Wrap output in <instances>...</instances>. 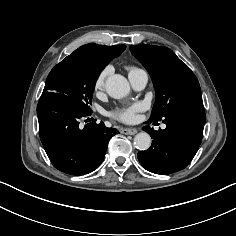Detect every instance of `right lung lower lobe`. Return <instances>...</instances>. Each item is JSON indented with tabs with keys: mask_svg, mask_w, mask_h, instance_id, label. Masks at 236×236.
I'll list each match as a JSON object with an SVG mask.
<instances>
[{
	"mask_svg": "<svg viewBox=\"0 0 236 236\" xmlns=\"http://www.w3.org/2000/svg\"><path fill=\"white\" fill-rule=\"evenodd\" d=\"M91 113L81 110L66 95L42 93L37 106L40 139L56 169L83 175L102 163L109 140L119 131L95 121L81 129L79 119Z\"/></svg>",
	"mask_w": 236,
	"mask_h": 236,
	"instance_id": "right-lung-lower-lobe-1",
	"label": "right lung lower lobe"
}]
</instances>
